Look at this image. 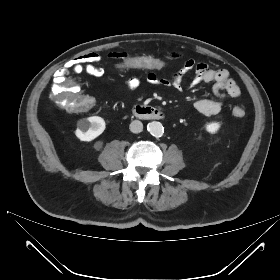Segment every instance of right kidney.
I'll use <instances>...</instances> for the list:
<instances>
[{
  "instance_id": "obj_1",
  "label": "right kidney",
  "mask_w": 280,
  "mask_h": 280,
  "mask_svg": "<svg viewBox=\"0 0 280 280\" xmlns=\"http://www.w3.org/2000/svg\"><path fill=\"white\" fill-rule=\"evenodd\" d=\"M105 121L99 116H91L78 122L75 135L81 141H92L105 130Z\"/></svg>"
}]
</instances>
